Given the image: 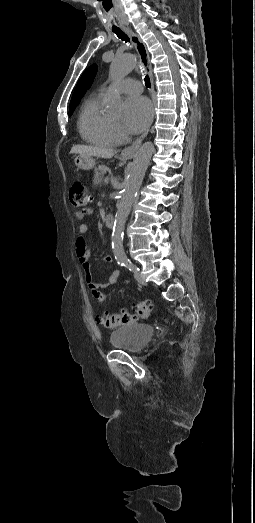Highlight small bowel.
<instances>
[{"label": "small bowel", "instance_id": "c3829d8e", "mask_svg": "<svg viewBox=\"0 0 255 523\" xmlns=\"http://www.w3.org/2000/svg\"><path fill=\"white\" fill-rule=\"evenodd\" d=\"M91 214H92V209L85 208L80 211H77L75 214V217L77 220H83L86 216L91 215ZM88 229H89V227L86 223H82L79 225L78 237H77L76 244H75V253H76V256H77L80 264L82 265V267L85 271L86 282H87L88 286L91 289H97V290L105 289L107 287L114 285L117 282L119 275H120V271L118 269L113 270L106 283L99 284L94 281L92 274H91V270H90V251L86 244V234L88 232ZM103 260L111 263L113 261V258L109 255H105L103 257Z\"/></svg>", "mask_w": 255, "mask_h": 523}]
</instances>
